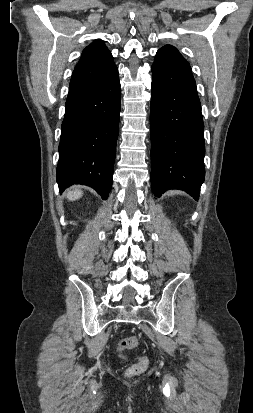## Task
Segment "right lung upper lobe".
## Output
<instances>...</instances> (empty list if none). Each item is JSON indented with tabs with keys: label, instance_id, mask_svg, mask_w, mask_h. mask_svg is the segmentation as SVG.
I'll use <instances>...</instances> for the list:
<instances>
[{
	"label": "right lung upper lobe",
	"instance_id": "right-lung-upper-lobe-1",
	"mask_svg": "<svg viewBox=\"0 0 253 413\" xmlns=\"http://www.w3.org/2000/svg\"><path fill=\"white\" fill-rule=\"evenodd\" d=\"M116 68L111 52L102 40L87 46L76 65L67 98L85 93L100 84Z\"/></svg>",
	"mask_w": 253,
	"mask_h": 413
}]
</instances>
